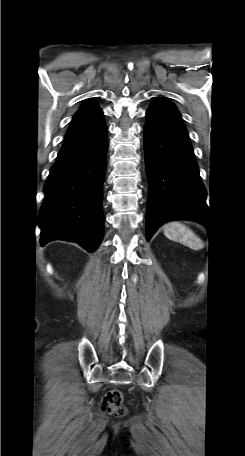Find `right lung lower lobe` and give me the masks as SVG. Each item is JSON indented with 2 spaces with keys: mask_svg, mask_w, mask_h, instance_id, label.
<instances>
[{
  "mask_svg": "<svg viewBox=\"0 0 245 456\" xmlns=\"http://www.w3.org/2000/svg\"><path fill=\"white\" fill-rule=\"evenodd\" d=\"M106 134L104 125L91 143L59 151L44 186L46 198L38 218L42 246L64 240L93 252L100 244Z\"/></svg>",
  "mask_w": 245,
  "mask_h": 456,
  "instance_id": "98d812e1",
  "label": "right lung lower lobe"
}]
</instances>
